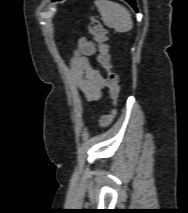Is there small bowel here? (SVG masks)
<instances>
[{"label":"small bowel","mask_w":188,"mask_h":213,"mask_svg":"<svg viewBox=\"0 0 188 213\" xmlns=\"http://www.w3.org/2000/svg\"><path fill=\"white\" fill-rule=\"evenodd\" d=\"M96 53L94 42L80 38L77 50L70 61L72 79L87 101H97L105 87V81L90 59Z\"/></svg>","instance_id":"c3829d8e"}]
</instances>
